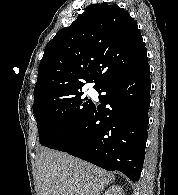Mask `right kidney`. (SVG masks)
<instances>
[{
	"label": "right kidney",
	"mask_w": 178,
	"mask_h": 195,
	"mask_svg": "<svg viewBox=\"0 0 178 195\" xmlns=\"http://www.w3.org/2000/svg\"><path fill=\"white\" fill-rule=\"evenodd\" d=\"M104 195H123V189L120 186L113 185Z\"/></svg>",
	"instance_id": "right-kidney-1"
}]
</instances>
